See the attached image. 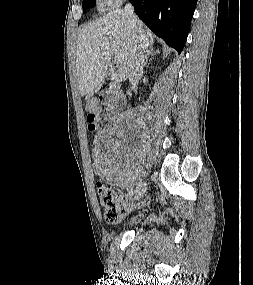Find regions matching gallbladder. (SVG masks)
<instances>
[{"label": "gallbladder", "instance_id": "obj_1", "mask_svg": "<svg viewBox=\"0 0 253 285\" xmlns=\"http://www.w3.org/2000/svg\"><path fill=\"white\" fill-rule=\"evenodd\" d=\"M106 75H107V73H106ZM105 75V76H106ZM99 90V87H97L95 90H94V93H96L97 91ZM93 94V93H92Z\"/></svg>", "mask_w": 253, "mask_h": 285}]
</instances>
